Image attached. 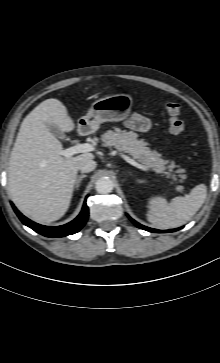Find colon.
Wrapping results in <instances>:
<instances>
[{"label": "colon", "mask_w": 220, "mask_h": 363, "mask_svg": "<svg viewBox=\"0 0 220 363\" xmlns=\"http://www.w3.org/2000/svg\"><path fill=\"white\" fill-rule=\"evenodd\" d=\"M181 106L178 102L166 104V112L169 115V129L174 135H181L185 131V123L179 118Z\"/></svg>", "instance_id": "5ec220e1"}]
</instances>
